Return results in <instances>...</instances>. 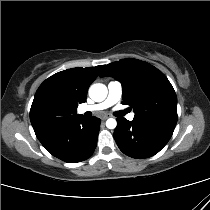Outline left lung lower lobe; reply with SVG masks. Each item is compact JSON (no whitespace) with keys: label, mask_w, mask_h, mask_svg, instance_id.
<instances>
[{"label":"left lung lower lobe","mask_w":210,"mask_h":210,"mask_svg":"<svg viewBox=\"0 0 210 210\" xmlns=\"http://www.w3.org/2000/svg\"><path fill=\"white\" fill-rule=\"evenodd\" d=\"M114 139L120 150L133 158L158 153L171 138L175 125L155 121H128L117 118Z\"/></svg>","instance_id":"obj_1"}]
</instances>
